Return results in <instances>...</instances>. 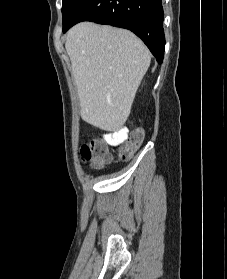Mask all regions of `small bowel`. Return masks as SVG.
<instances>
[{"mask_svg":"<svg viewBox=\"0 0 227 279\" xmlns=\"http://www.w3.org/2000/svg\"><path fill=\"white\" fill-rule=\"evenodd\" d=\"M128 137V130L126 128H120L117 131L109 134H105L103 136L104 140L107 144L111 146L118 145L126 140Z\"/></svg>","mask_w":227,"mask_h":279,"instance_id":"small-bowel-1","label":"small bowel"}]
</instances>
